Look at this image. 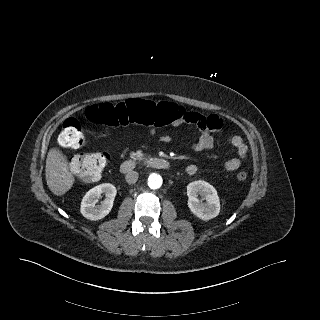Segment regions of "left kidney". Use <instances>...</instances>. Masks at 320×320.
Wrapping results in <instances>:
<instances>
[{"mask_svg":"<svg viewBox=\"0 0 320 320\" xmlns=\"http://www.w3.org/2000/svg\"><path fill=\"white\" fill-rule=\"evenodd\" d=\"M198 195L203 200L202 202ZM188 207L199 219L207 221L218 216L220 212V200L216 189L208 182L198 180L187 186Z\"/></svg>","mask_w":320,"mask_h":320,"instance_id":"obj_1","label":"left kidney"}]
</instances>
